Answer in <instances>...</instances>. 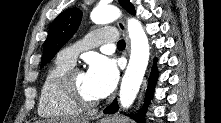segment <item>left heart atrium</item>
Wrapping results in <instances>:
<instances>
[{
  "mask_svg": "<svg viewBox=\"0 0 221 123\" xmlns=\"http://www.w3.org/2000/svg\"><path fill=\"white\" fill-rule=\"evenodd\" d=\"M86 75L99 98L109 95L118 80V70L115 62L100 55L91 58Z\"/></svg>",
  "mask_w": 221,
  "mask_h": 123,
  "instance_id": "left-heart-atrium-1",
  "label": "left heart atrium"
}]
</instances>
